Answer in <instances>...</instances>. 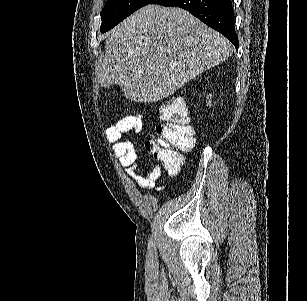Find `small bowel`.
Returning <instances> with one entry per match:
<instances>
[{"mask_svg": "<svg viewBox=\"0 0 307 301\" xmlns=\"http://www.w3.org/2000/svg\"><path fill=\"white\" fill-rule=\"evenodd\" d=\"M142 120L139 116L124 118L106 130L107 140L112 144L115 156L119 159L120 165L129 172L133 181L145 190L155 187L156 181L161 177V169L155 167L152 171L140 174L137 171V153L132 142L123 139L128 131L139 133L142 130ZM156 191L163 190V186H156Z\"/></svg>", "mask_w": 307, "mask_h": 301, "instance_id": "obj_1", "label": "small bowel"}]
</instances>
